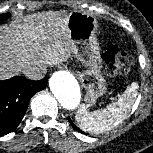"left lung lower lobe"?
Masks as SVG:
<instances>
[{
	"label": "left lung lower lobe",
	"mask_w": 153,
	"mask_h": 153,
	"mask_svg": "<svg viewBox=\"0 0 153 153\" xmlns=\"http://www.w3.org/2000/svg\"><path fill=\"white\" fill-rule=\"evenodd\" d=\"M68 121L70 122V124L73 126L74 129H76L77 131L83 133L82 131H80L74 124L73 122L71 121V119L68 117Z\"/></svg>",
	"instance_id": "obj_1"
}]
</instances>
